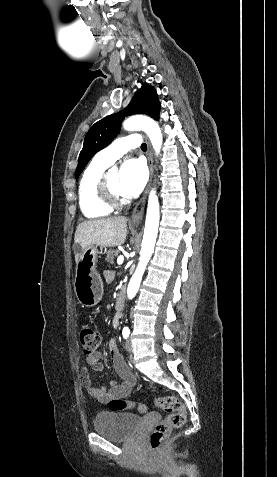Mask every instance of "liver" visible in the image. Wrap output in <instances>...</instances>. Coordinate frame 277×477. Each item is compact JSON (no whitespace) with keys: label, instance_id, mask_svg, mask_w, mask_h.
<instances>
[{"label":"liver","instance_id":"6515ba94","mask_svg":"<svg viewBox=\"0 0 277 477\" xmlns=\"http://www.w3.org/2000/svg\"><path fill=\"white\" fill-rule=\"evenodd\" d=\"M127 220L124 216H118L81 222L74 238L81 247V252L75 253L76 264L81 253L89 246L116 247L123 244L127 236Z\"/></svg>","mask_w":277,"mask_h":477}]
</instances>
